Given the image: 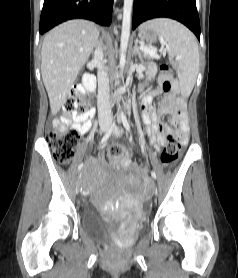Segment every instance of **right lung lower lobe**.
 <instances>
[{
	"label": "right lung lower lobe",
	"instance_id": "obj_1",
	"mask_svg": "<svg viewBox=\"0 0 238 278\" xmlns=\"http://www.w3.org/2000/svg\"><path fill=\"white\" fill-rule=\"evenodd\" d=\"M113 0H44L39 31L44 34L54 26L75 18L109 26Z\"/></svg>",
	"mask_w": 238,
	"mask_h": 278
}]
</instances>
